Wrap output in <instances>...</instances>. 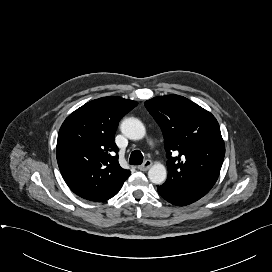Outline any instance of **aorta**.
<instances>
[{
	"label": "aorta",
	"mask_w": 272,
	"mask_h": 272,
	"mask_svg": "<svg viewBox=\"0 0 272 272\" xmlns=\"http://www.w3.org/2000/svg\"><path fill=\"white\" fill-rule=\"evenodd\" d=\"M121 132L131 140H140L145 134L146 130L143 123L137 118H126L122 121L120 126ZM167 177V171L163 164L156 163L148 171V178L154 184H162Z\"/></svg>",
	"instance_id": "762f6f07"
}]
</instances>
